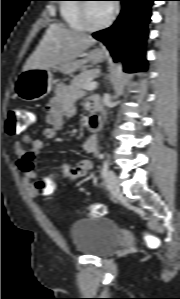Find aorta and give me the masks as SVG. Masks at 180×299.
<instances>
[{
	"mask_svg": "<svg viewBox=\"0 0 180 299\" xmlns=\"http://www.w3.org/2000/svg\"><path fill=\"white\" fill-rule=\"evenodd\" d=\"M122 75V63H117L116 69H115V76L117 79H119Z\"/></svg>",
	"mask_w": 180,
	"mask_h": 299,
	"instance_id": "1",
	"label": "aorta"
}]
</instances>
